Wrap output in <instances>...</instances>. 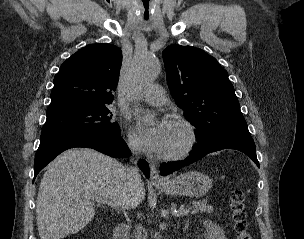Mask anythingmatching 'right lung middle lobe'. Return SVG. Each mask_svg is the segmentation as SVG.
Returning <instances> with one entry per match:
<instances>
[{
	"mask_svg": "<svg viewBox=\"0 0 304 239\" xmlns=\"http://www.w3.org/2000/svg\"><path fill=\"white\" fill-rule=\"evenodd\" d=\"M61 132H89L120 137V127L113 121L106 105L78 108L47 115L42 134Z\"/></svg>",
	"mask_w": 304,
	"mask_h": 239,
	"instance_id": "1",
	"label": "right lung middle lobe"
}]
</instances>
